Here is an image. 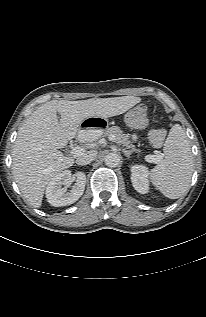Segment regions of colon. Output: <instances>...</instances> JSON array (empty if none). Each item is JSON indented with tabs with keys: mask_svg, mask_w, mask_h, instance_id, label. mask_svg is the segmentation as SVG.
Segmentation results:
<instances>
[{
	"mask_svg": "<svg viewBox=\"0 0 206 317\" xmlns=\"http://www.w3.org/2000/svg\"><path fill=\"white\" fill-rule=\"evenodd\" d=\"M124 122L129 127H133V128L144 127L148 122V112L146 107L143 105H139L131 109L124 116ZM166 133H167V130L163 127L153 130L150 133L151 144L155 147L160 146L166 136Z\"/></svg>",
	"mask_w": 206,
	"mask_h": 317,
	"instance_id": "obj_1",
	"label": "colon"
}]
</instances>
